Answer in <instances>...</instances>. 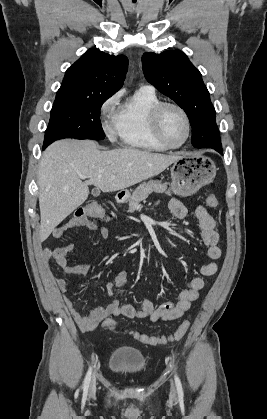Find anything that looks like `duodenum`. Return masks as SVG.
Returning a JSON list of instances; mask_svg holds the SVG:
<instances>
[{
    "label": "duodenum",
    "mask_w": 267,
    "mask_h": 419,
    "mask_svg": "<svg viewBox=\"0 0 267 419\" xmlns=\"http://www.w3.org/2000/svg\"><path fill=\"white\" fill-rule=\"evenodd\" d=\"M116 201L121 203L123 201V197L121 195L117 196Z\"/></svg>",
    "instance_id": "410a0bca"
}]
</instances>
